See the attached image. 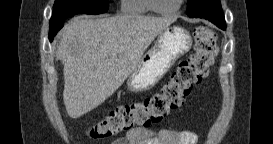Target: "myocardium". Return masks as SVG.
I'll return each mask as SVG.
<instances>
[{
	"label": "myocardium",
	"mask_w": 273,
	"mask_h": 144,
	"mask_svg": "<svg viewBox=\"0 0 273 144\" xmlns=\"http://www.w3.org/2000/svg\"><path fill=\"white\" fill-rule=\"evenodd\" d=\"M184 0H178V4L176 7L169 9V10H162L158 7L157 5V0H148V7L150 9V11H153L154 13L158 14V15H172L177 13L182 4H183Z\"/></svg>",
	"instance_id": "f54148a6"
}]
</instances>
